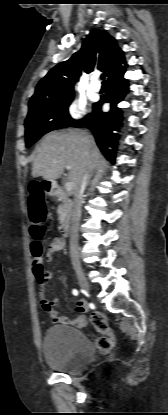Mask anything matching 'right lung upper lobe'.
Returning a JSON list of instances; mask_svg holds the SVG:
<instances>
[{
	"instance_id": "obj_1",
	"label": "right lung upper lobe",
	"mask_w": 168,
	"mask_h": 415,
	"mask_svg": "<svg viewBox=\"0 0 168 415\" xmlns=\"http://www.w3.org/2000/svg\"><path fill=\"white\" fill-rule=\"evenodd\" d=\"M125 57L116 41L103 30L93 29L83 41L79 52L59 63L40 80L29 102V110L73 94L81 70L86 73L100 69L110 78L122 71Z\"/></svg>"
}]
</instances>
